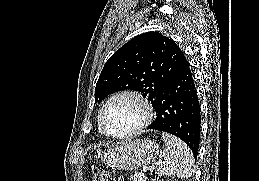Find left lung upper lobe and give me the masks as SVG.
I'll list each match as a JSON object with an SVG mask.
<instances>
[{"label": "left lung upper lobe", "mask_w": 259, "mask_h": 181, "mask_svg": "<svg viewBox=\"0 0 259 181\" xmlns=\"http://www.w3.org/2000/svg\"><path fill=\"white\" fill-rule=\"evenodd\" d=\"M179 47L159 32L138 35L106 62L95 88V102L119 90H136L148 97L153 108L165 87L176 77Z\"/></svg>", "instance_id": "1"}]
</instances>
